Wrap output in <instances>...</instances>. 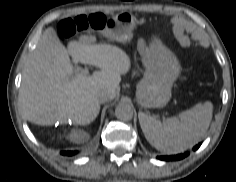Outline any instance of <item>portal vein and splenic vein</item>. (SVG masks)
<instances>
[{"label": "portal vein and splenic vein", "instance_id": "obj_1", "mask_svg": "<svg viewBox=\"0 0 236 182\" xmlns=\"http://www.w3.org/2000/svg\"><path fill=\"white\" fill-rule=\"evenodd\" d=\"M77 74H83V75H87L89 70L87 68L80 70L79 68H77L76 70Z\"/></svg>", "mask_w": 236, "mask_h": 182}]
</instances>
